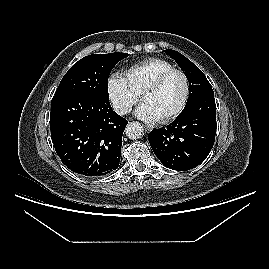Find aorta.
<instances>
[{
    "mask_svg": "<svg viewBox=\"0 0 269 269\" xmlns=\"http://www.w3.org/2000/svg\"><path fill=\"white\" fill-rule=\"evenodd\" d=\"M126 135L129 139L136 140L143 136V127L138 122H131L126 126Z\"/></svg>",
    "mask_w": 269,
    "mask_h": 269,
    "instance_id": "1",
    "label": "aorta"
}]
</instances>
